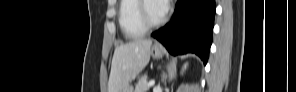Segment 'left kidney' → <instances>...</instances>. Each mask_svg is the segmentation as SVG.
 Returning a JSON list of instances; mask_svg holds the SVG:
<instances>
[{
	"label": "left kidney",
	"instance_id": "1",
	"mask_svg": "<svg viewBox=\"0 0 296 92\" xmlns=\"http://www.w3.org/2000/svg\"><path fill=\"white\" fill-rule=\"evenodd\" d=\"M186 67H187V64L184 65L183 70L186 69Z\"/></svg>",
	"mask_w": 296,
	"mask_h": 92
}]
</instances>
